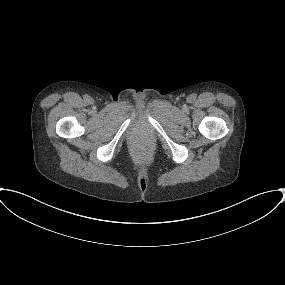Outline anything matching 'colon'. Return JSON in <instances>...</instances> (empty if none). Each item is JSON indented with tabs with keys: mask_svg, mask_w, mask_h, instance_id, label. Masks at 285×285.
Listing matches in <instances>:
<instances>
[{
	"mask_svg": "<svg viewBox=\"0 0 285 285\" xmlns=\"http://www.w3.org/2000/svg\"><path fill=\"white\" fill-rule=\"evenodd\" d=\"M147 153H148V150H147V149H145V148H144V149H141V154H142V155H146Z\"/></svg>",
	"mask_w": 285,
	"mask_h": 285,
	"instance_id": "5ec220e1",
	"label": "colon"
}]
</instances>
